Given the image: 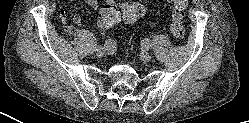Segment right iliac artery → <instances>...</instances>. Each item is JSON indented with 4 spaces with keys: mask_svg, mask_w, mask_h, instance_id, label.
Wrapping results in <instances>:
<instances>
[{
    "mask_svg": "<svg viewBox=\"0 0 249 123\" xmlns=\"http://www.w3.org/2000/svg\"><path fill=\"white\" fill-rule=\"evenodd\" d=\"M112 46V41L110 39L106 40L104 43L105 48H110Z\"/></svg>",
    "mask_w": 249,
    "mask_h": 123,
    "instance_id": "82829eb1",
    "label": "right iliac artery"
}]
</instances>
